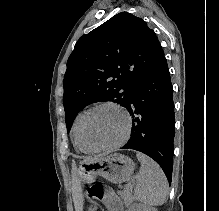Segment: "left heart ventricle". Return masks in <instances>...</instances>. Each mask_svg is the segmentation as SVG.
I'll use <instances>...</instances> for the list:
<instances>
[{
  "label": "left heart ventricle",
  "mask_w": 219,
  "mask_h": 211,
  "mask_svg": "<svg viewBox=\"0 0 219 211\" xmlns=\"http://www.w3.org/2000/svg\"><path fill=\"white\" fill-rule=\"evenodd\" d=\"M125 126V117L119 110L104 106L90 113L85 132L88 140L95 145L111 144L122 137Z\"/></svg>",
  "instance_id": "left-heart-ventricle-1"
}]
</instances>
